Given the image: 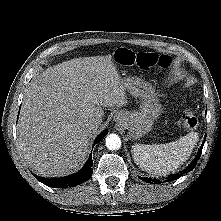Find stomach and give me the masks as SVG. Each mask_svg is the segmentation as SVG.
<instances>
[{
	"instance_id": "0dacf381",
	"label": "stomach",
	"mask_w": 221,
	"mask_h": 221,
	"mask_svg": "<svg viewBox=\"0 0 221 221\" xmlns=\"http://www.w3.org/2000/svg\"><path fill=\"white\" fill-rule=\"evenodd\" d=\"M122 82L131 95L141 99L140 110L126 111L124 120L120 122L130 137L138 139L152 129L154 121L162 112V106L154 88L142 79L126 75Z\"/></svg>"
}]
</instances>
